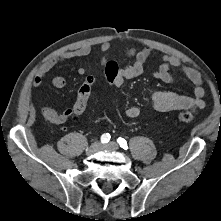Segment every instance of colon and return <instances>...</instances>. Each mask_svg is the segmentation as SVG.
Masks as SVG:
<instances>
[{"instance_id": "obj_1", "label": "colon", "mask_w": 221, "mask_h": 221, "mask_svg": "<svg viewBox=\"0 0 221 221\" xmlns=\"http://www.w3.org/2000/svg\"><path fill=\"white\" fill-rule=\"evenodd\" d=\"M105 70L101 73L102 80L107 84H112L116 81L118 76L119 65L116 60L109 59L105 63ZM94 84V77L88 75L85 77L83 84L80 86L76 101L74 104V117L80 116L86 109L87 102L91 95L92 86ZM178 120L182 123H191L195 120L193 113L189 111H182L177 116Z\"/></svg>"}]
</instances>
